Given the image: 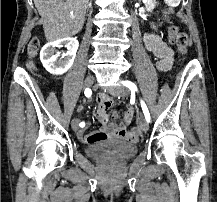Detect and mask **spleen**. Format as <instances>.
<instances>
[{
    "instance_id": "spleen-1",
    "label": "spleen",
    "mask_w": 217,
    "mask_h": 202,
    "mask_svg": "<svg viewBox=\"0 0 217 202\" xmlns=\"http://www.w3.org/2000/svg\"><path fill=\"white\" fill-rule=\"evenodd\" d=\"M165 5H171V7H176V5H179V0H165Z\"/></svg>"
}]
</instances>
